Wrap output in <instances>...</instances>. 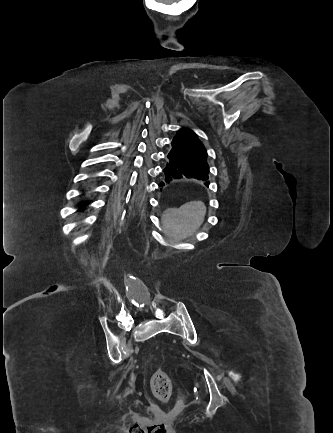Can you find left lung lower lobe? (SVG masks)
Here are the masks:
<instances>
[{"label": "left lung lower lobe", "instance_id": "1", "mask_svg": "<svg viewBox=\"0 0 333 433\" xmlns=\"http://www.w3.org/2000/svg\"><path fill=\"white\" fill-rule=\"evenodd\" d=\"M166 156V165L163 169L165 183L181 178H195L203 181L208 179L207 158L178 140L173 139ZM163 185L164 182L160 184V186Z\"/></svg>", "mask_w": 333, "mask_h": 433}]
</instances>
